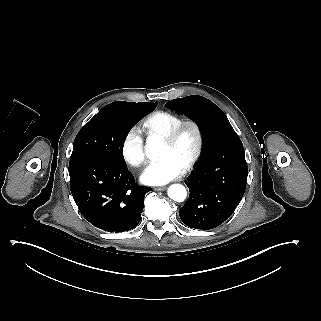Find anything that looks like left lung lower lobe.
I'll list each match as a JSON object with an SVG mask.
<instances>
[{"mask_svg":"<svg viewBox=\"0 0 321 321\" xmlns=\"http://www.w3.org/2000/svg\"><path fill=\"white\" fill-rule=\"evenodd\" d=\"M248 167L241 141L219 146L201 159L188 179L189 198L179 210L190 228L209 230L227 220L239 205L245 189Z\"/></svg>","mask_w":321,"mask_h":321,"instance_id":"1","label":"left lung lower lobe"}]
</instances>
